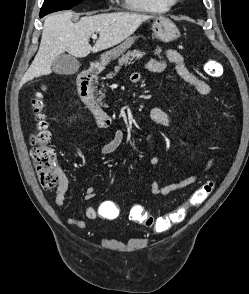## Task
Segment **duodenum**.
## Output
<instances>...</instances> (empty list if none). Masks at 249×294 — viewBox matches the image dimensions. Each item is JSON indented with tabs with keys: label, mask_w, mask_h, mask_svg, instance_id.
I'll use <instances>...</instances> for the list:
<instances>
[{
	"label": "duodenum",
	"mask_w": 249,
	"mask_h": 294,
	"mask_svg": "<svg viewBox=\"0 0 249 294\" xmlns=\"http://www.w3.org/2000/svg\"><path fill=\"white\" fill-rule=\"evenodd\" d=\"M102 65L95 63L83 70L78 80V91L85 107L96 120L106 123L107 126L112 124V118L102 109L95 92L93 80L101 72Z\"/></svg>",
	"instance_id": "1"
}]
</instances>
